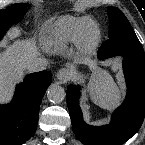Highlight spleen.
Segmentation results:
<instances>
[{"label": "spleen", "mask_w": 145, "mask_h": 145, "mask_svg": "<svg viewBox=\"0 0 145 145\" xmlns=\"http://www.w3.org/2000/svg\"><path fill=\"white\" fill-rule=\"evenodd\" d=\"M90 97L99 107L114 109L121 100L119 88L108 73L96 77L89 85Z\"/></svg>", "instance_id": "1"}]
</instances>
